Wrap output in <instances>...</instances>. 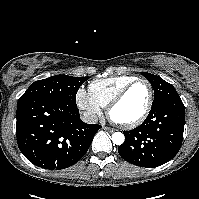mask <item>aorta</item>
Listing matches in <instances>:
<instances>
[{
	"instance_id": "762f6f07",
	"label": "aorta",
	"mask_w": 199,
	"mask_h": 199,
	"mask_svg": "<svg viewBox=\"0 0 199 199\" xmlns=\"http://www.w3.org/2000/svg\"><path fill=\"white\" fill-rule=\"evenodd\" d=\"M125 137L121 132H114L112 134V142L116 145H121L124 143Z\"/></svg>"
}]
</instances>
